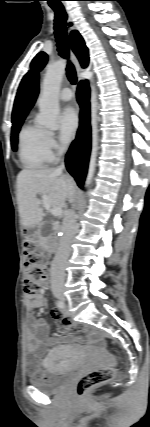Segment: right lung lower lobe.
<instances>
[{"label": "right lung lower lobe", "mask_w": 150, "mask_h": 427, "mask_svg": "<svg viewBox=\"0 0 150 427\" xmlns=\"http://www.w3.org/2000/svg\"><path fill=\"white\" fill-rule=\"evenodd\" d=\"M77 99L81 106L80 127L65 161L67 170L75 178L78 186L82 187L87 173L91 148L89 86L87 81L79 83Z\"/></svg>", "instance_id": "1"}]
</instances>
